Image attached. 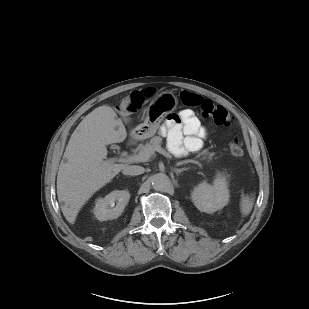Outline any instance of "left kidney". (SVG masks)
Listing matches in <instances>:
<instances>
[{"label":"left kidney","instance_id":"left-kidney-1","mask_svg":"<svg viewBox=\"0 0 309 309\" xmlns=\"http://www.w3.org/2000/svg\"><path fill=\"white\" fill-rule=\"evenodd\" d=\"M229 189L225 176L218 173L213 184L202 182L194 188L191 199L201 212L214 213L228 204Z\"/></svg>","mask_w":309,"mask_h":309}]
</instances>
